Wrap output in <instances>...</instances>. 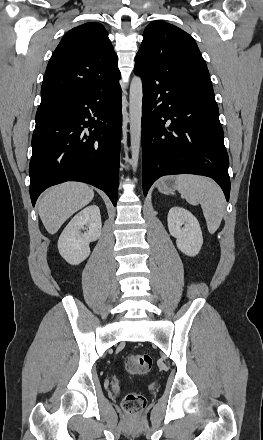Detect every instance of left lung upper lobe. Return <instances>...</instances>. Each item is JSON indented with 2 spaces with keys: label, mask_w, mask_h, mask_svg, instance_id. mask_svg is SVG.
<instances>
[{
  "label": "left lung upper lobe",
  "mask_w": 263,
  "mask_h": 440,
  "mask_svg": "<svg viewBox=\"0 0 263 440\" xmlns=\"http://www.w3.org/2000/svg\"><path fill=\"white\" fill-rule=\"evenodd\" d=\"M172 72L187 82L213 91L209 71L195 40L182 29L163 22H151L135 58V67Z\"/></svg>",
  "instance_id": "1"
}]
</instances>
